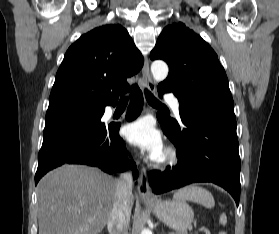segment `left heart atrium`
Here are the masks:
<instances>
[{
    "label": "left heart atrium",
    "instance_id": "1",
    "mask_svg": "<svg viewBox=\"0 0 279 234\" xmlns=\"http://www.w3.org/2000/svg\"><path fill=\"white\" fill-rule=\"evenodd\" d=\"M124 134L130 143L147 151L152 158L157 159L161 156L163 152L162 138L150 118L143 117L127 124Z\"/></svg>",
    "mask_w": 279,
    "mask_h": 234
}]
</instances>
